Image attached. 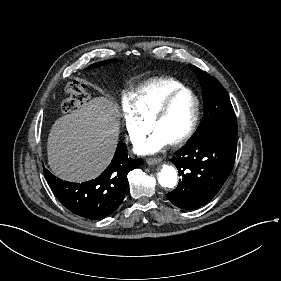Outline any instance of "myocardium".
<instances>
[{"label": "myocardium", "instance_id": "myocardium-1", "mask_svg": "<svg viewBox=\"0 0 281 281\" xmlns=\"http://www.w3.org/2000/svg\"><path fill=\"white\" fill-rule=\"evenodd\" d=\"M189 94L195 102V108L192 115V118L189 122L188 127L186 130L176 139L169 142L171 146H179L187 142L192 135L194 134L196 127L198 125L199 117H200V109L201 104L198 96L189 88H183L179 91L174 92L170 96H168L156 109L155 111L147 118L146 120V127L148 131H152L154 125L157 121L164 115L170 105L180 96Z\"/></svg>", "mask_w": 281, "mask_h": 281}]
</instances>
